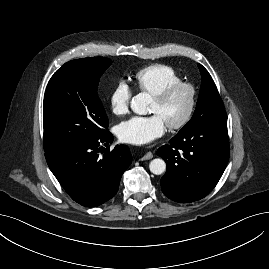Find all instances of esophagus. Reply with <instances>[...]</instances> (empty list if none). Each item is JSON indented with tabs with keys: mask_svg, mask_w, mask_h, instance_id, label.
<instances>
[{
	"mask_svg": "<svg viewBox=\"0 0 269 269\" xmlns=\"http://www.w3.org/2000/svg\"><path fill=\"white\" fill-rule=\"evenodd\" d=\"M153 158V154L151 152H147L141 159L142 160H149Z\"/></svg>",
	"mask_w": 269,
	"mask_h": 269,
	"instance_id": "obj_1",
	"label": "esophagus"
}]
</instances>
